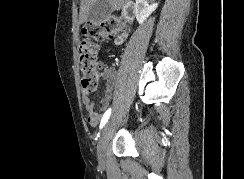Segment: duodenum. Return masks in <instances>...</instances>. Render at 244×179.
<instances>
[{
  "mask_svg": "<svg viewBox=\"0 0 244 179\" xmlns=\"http://www.w3.org/2000/svg\"><path fill=\"white\" fill-rule=\"evenodd\" d=\"M135 12V3L132 1H127L122 10L123 17H125L126 19H132L135 15Z\"/></svg>",
  "mask_w": 244,
  "mask_h": 179,
  "instance_id": "obj_1",
  "label": "duodenum"
}]
</instances>
